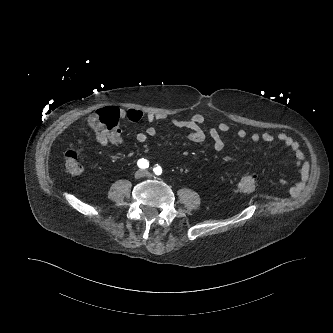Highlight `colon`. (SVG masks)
I'll use <instances>...</instances> for the list:
<instances>
[{"label": "colon", "mask_w": 333, "mask_h": 333, "mask_svg": "<svg viewBox=\"0 0 333 333\" xmlns=\"http://www.w3.org/2000/svg\"><path fill=\"white\" fill-rule=\"evenodd\" d=\"M119 110L115 107H104L93 114L87 119V127L91 130L93 135L101 137L110 135L116 132L119 122ZM86 138L81 136L78 139V144L84 143ZM64 166L66 172L70 174H79L82 172L83 167L79 159L78 146H72L64 154ZM256 175L253 173L244 174L239 181V189L244 193H252L255 189Z\"/></svg>", "instance_id": "5ec220e1"}]
</instances>
